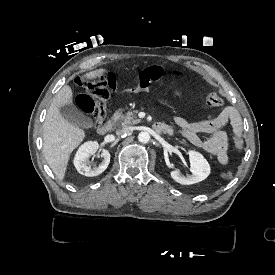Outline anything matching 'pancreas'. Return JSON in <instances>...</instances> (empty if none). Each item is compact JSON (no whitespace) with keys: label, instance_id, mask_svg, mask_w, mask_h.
<instances>
[{"label":"pancreas","instance_id":"obj_1","mask_svg":"<svg viewBox=\"0 0 275 275\" xmlns=\"http://www.w3.org/2000/svg\"><path fill=\"white\" fill-rule=\"evenodd\" d=\"M137 114L138 110H131L124 113L123 109L118 108L113 114V119L123 127H128L140 123L141 120L138 118Z\"/></svg>","mask_w":275,"mask_h":275}]
</instances>
